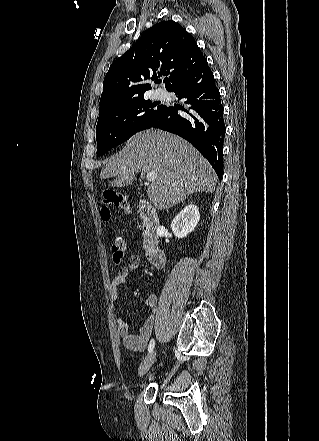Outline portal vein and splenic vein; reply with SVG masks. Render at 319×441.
<instances>
[{
	"mask_svg": "<svg viewBox=\"0 0 319 441\" xmlns=\"http://www.w3.org/2000/svg\"><path fill=\"white\" fill-rule=\"evenodd\" d=\"M157 178V173L155 171L148 172L146 175V179L149 182L155 181Z\"/></svg>",
	"mask_w": 319,
	"mask_h": 441,
	"instance_id": "18ae733b",
	"label": "portal vein and splenic vein"
}]
</instances>
